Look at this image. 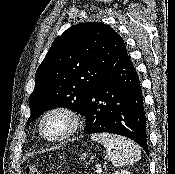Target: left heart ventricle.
I'll list each match as a JSON object with an SVG mask.
<instances>
[{"mask_svg": "<svg viewBox=\"0 0 175 174\" xmlns=\"http://www.w3.org/2000/svg\"><path fill=\"white\" fill-rule=\"evenodd\" d=\"M69 125L68 117L63 114H53L44 121L43 130L47 136L56 137L63 134Z\"/></svg>", "mask_w": 175, "mask_h": 174, "instance_id": "obj_1", "label": "left heart ventricle"}]
</instances>
